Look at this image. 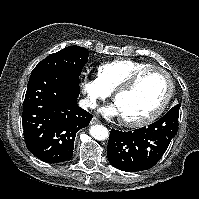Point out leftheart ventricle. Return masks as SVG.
I'll return each mask as SVG.
<instances>
[{"label": "left heart ventricle", "instance_id": "b2bd125f", "mask_svg": "<svg viewBox=\"0 0 199 199\" xmlns=\"http://www.w3.org/2000/svg\"><path fill=\"white\" fill-rule=\"evenodd\" d=\"M168 92L167 78L160 72L144 74L135 87L120 95L115 104L121 118L141 119L156 110Z\"/></svg>", "mask_w": 199, "mask_h": 199}]
</instances>
